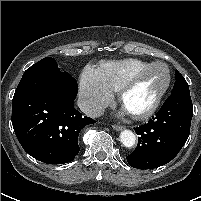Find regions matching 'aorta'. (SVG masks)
<instances>
[{
	"label": "aorta",
	"instance_id": "aorta-1",
	"mask_svg": "<svg viewBox=\"0 0 201 201\" xmlns=\"http://www.w3.org/2000/svg\"><path fill=\"white\" fill-rule=\"evenodd\" d=\"M120 141L125 147H133L136 143V136L131 130H123L120 133Z\"/></svg>",
	"mask_w": 201,
	"mask_h": 201
}]
</instances>
